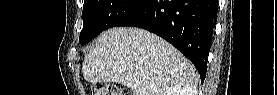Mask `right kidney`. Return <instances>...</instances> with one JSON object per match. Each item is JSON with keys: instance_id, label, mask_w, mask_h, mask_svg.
<instances>
[{"instance_id": "obj_1", "label": "right kidney", "mask_w": 277, "mask_h": 95, "mask_svg": "<svg viewBox=\"0 0 277 95\" xmlns=\"http://www.w3.org/2000/svg\"><path fill=\"white\" fill-rule=\"evenodd\" d=\"M189 90L186 89L182 85H176L174 87L169 88L164 95H190L192 93H188Z\"/></svg>"}]
</instances>
